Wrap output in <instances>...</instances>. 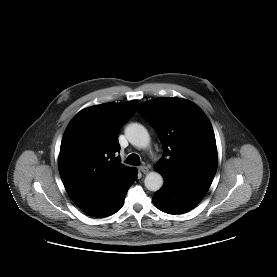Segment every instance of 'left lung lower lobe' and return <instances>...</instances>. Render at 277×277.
<instances>
[{
	"label": "left lung lower lobe",
	"instance_id": "left-lung-lower-lobe-1",
	"mask_svg": "<svg viewBox=\"0 0 277 277\" xmlns=\"http://www.w3.org/2000/svg\"><path fill=\"white\" fill-rule=\"evenodd\" d=\"M208 189L207 186L184 184L164 178L163 187L155 193L153 202L163 212L182 214L194 208Z\"/></svg>",
	"mask_w": 277,
	"mask_h": 277
}]
</instances>
